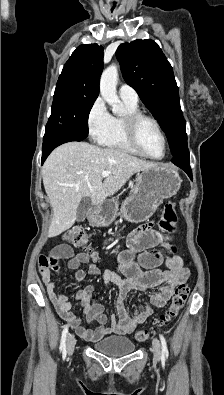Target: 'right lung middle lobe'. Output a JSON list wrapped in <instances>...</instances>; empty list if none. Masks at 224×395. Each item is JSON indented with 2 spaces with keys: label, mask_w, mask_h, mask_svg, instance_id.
Listing matches in <instances>:
<instances>
[{
  "label": "right lung middle lobe",
  "mask_w": 224,
  "mask_h": 395,
  "mask_svg": "<svg viewBox=\"0 0 224 395\" xmlns=\"http://www.w3.org/2000/svg\"><path fill=\"white\" fill-rule=\"evenodd\" d=\"M97 97L98 93L57 83L51 116L46 126L62 127L76 136L86 138L89 113Z\"/></svg>",
  "instance_id": "1"
}]
</instances>
